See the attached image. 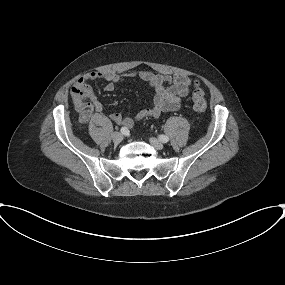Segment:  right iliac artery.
Returning a JSON list of instances; mask_svg holds the SVG:
<instances>
[{"instance_id":"obj_1","label":"right iliac artery","mask_w":285,"mask_h":285,"mask_svg":"<svg viewBox=\"0 0 285 285\" xmlns=\"http://www.w3.org/2000/svg\"><path fill=\"white\" fill-rule=\"evenodd\" d=\"M120 131H121L122 134H127L128 133V129L126 127H122Z\"/></svg>"}]
</instances>
